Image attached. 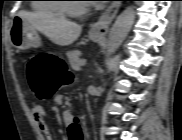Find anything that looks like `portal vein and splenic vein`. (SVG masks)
Returning <instances> with one entry per match:
<instances>
[{
  "label": "portal vein and splenic vein",
  "mask_w": 182,
  "mask_h": 140,
  "mask_svg": "<svg viewBox=\"0 0 182 140\" xmlns=\"http://www.w3.org/2000/svg\"><path fill=\"white\" fill-rule=\"evenodd\" d=\"M86 63H87V60H86V59H82V60L80 61V65H81V66L86 65Z\"/></svg>",
  "instance_id": "18ae733b"
}]
</instances>
